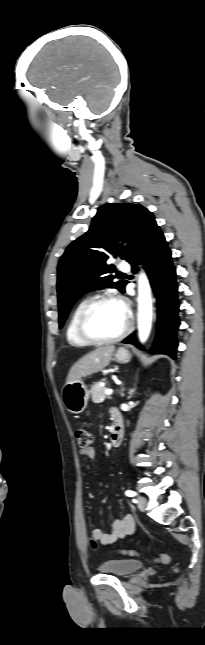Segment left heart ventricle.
Masks as SVG:
<instances>
[{
	"label": "left heart ventricle",
	"mask_w": 205,
	"mask_h": 645,
	"mask_svg": "<svg viewBox=\"0 0 205 645\" xmlns=\"http://www.w3.org/2000/svg\"><path fill=\"white\" fill-rule=\"evenodd\" d=\"M126 314L117 302L109 301L95 307L90 314L89 330L98 337H112L125 326Z\"/></svg>",
	"instance_id": "obj_1"
}]
</instances>
